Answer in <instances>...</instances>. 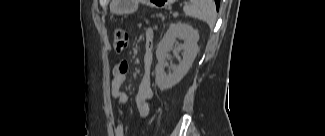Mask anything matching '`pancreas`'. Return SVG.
Segmentation results:
<instances>
[{"instance_id": "obj_1", "label": "pancreas", "mask_w": 325, "mask_h": 136, "mask_svg": "<svg viewBox=\"0 0 325 136\" xmlns=\"http://www.w3.org/2000/svg\"><path fill=\"white\" fill-rule=\"evenodd\" d=\"M150 18L151 19H156L157 24H164L165 19L169 18V13L168 12H157L156 10L154 12L150 13Z\"/></svg>"}]
</instances>
